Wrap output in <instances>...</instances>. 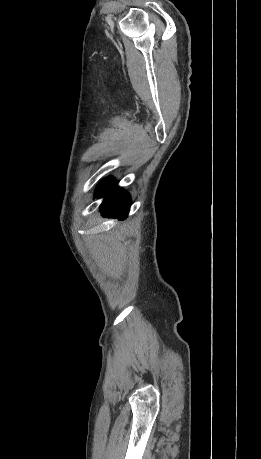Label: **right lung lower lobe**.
Returning a JSON list of instances; mask_svg holds the SVG:
<instances>
[{"label": "right lung lower lobe", "instance_id": "obj_1", "mask_svg": "<svg viewBox=\"0 0 261 459\" xmlns=\"http://www.w3.org/2000/svg\"><path fill=\"white\" fill-rule=\"evenodd\" d=\"M114 179L106 181L97 191L96 197H104L100 212L105 217L123 220L127 217L130 207L129 195L117 187Z\"/></svg>", "mask_w": 261, "mask_h": 459}]
</instances>
